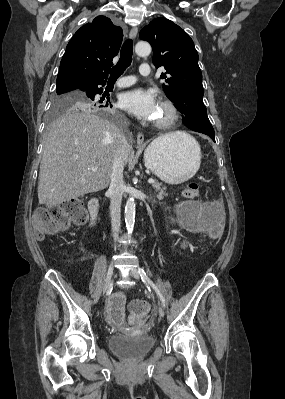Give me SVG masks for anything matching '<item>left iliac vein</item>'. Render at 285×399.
I'll return each instance as SVG.
<instances>
[{
    "label": "left iliac vein",
    "instance_id": "left-iliac-vein-1",
    "mask_svg": "<svg viewBox=\"0 0 285 399\" xmlns=\"http://www.w3.org/2000/svg\"><path fill=\"white\" fill-rule=\"evenodd\" d=\"M129 273L133 278L138 279V280L140 279L139 272L136 268H131ZM158 312H159L160 317H164L165 311L162 307L159 308Z\"/></svg>",
    "mask_w": 285,
    "mask_h": 399
}]
</instances>
